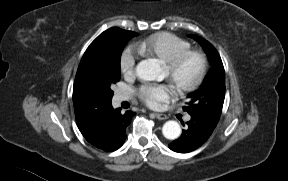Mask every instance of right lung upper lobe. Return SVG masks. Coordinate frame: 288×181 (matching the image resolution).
I'll use <instances>...</instances> for the list:
<instances>
[{
    "label": "right lung upper lobe",
    "mask_w": 288,
    "mask_h": 181,
    "mask_svg": "<svg viewBox=\"0 0 288 181\" xmlns=\"http://www.w3.org/2000/svg\"><path fill=\"white\" fill-rule=\"evenodd\" d=\"M117 29L122 30L117 27L108 29L90 44L81 59L73 86V104L77 126L86 140L98 148L104 145L109 135L108 122L112 105L111 101L107 100L82 79L81 73L95 45L104 36ZM122 31L132 37L137 35L132 31Z\"/></svg>",
    "instance_id": "right-lung-upper-lobe-1"
}]
</instances>
